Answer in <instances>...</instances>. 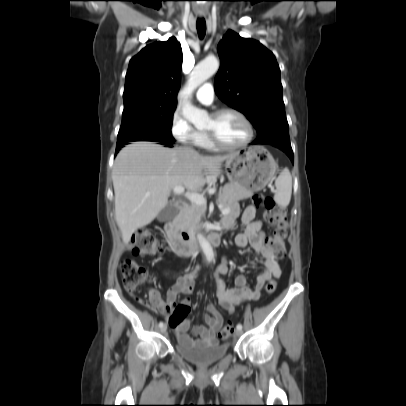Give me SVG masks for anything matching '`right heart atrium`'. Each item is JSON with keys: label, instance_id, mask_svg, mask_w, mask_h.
Listing matches in <instances>:
<instances>
[{"label": "right heart atrium", "instance_id": "right-heart-atrium-1", "mask_svg": "<svg viewBox=\"0 0 406 406\" xmlns=\"http://www.w3.org/2000/svg\"><path fill=\"white\" fill-rule=\"evenodd\" d=\"M171 133L183 144H198L203 136V133L195 129L179 111H175L172 115Z\"/></svg>", "mask_w": 406, "mask_h": 406}]
</instances>
